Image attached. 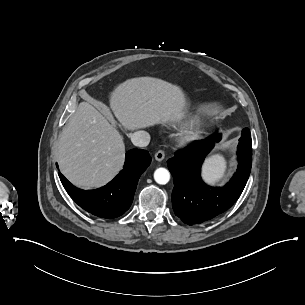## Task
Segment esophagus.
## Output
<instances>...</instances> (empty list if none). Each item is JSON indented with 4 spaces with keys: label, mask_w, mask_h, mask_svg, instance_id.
Listing matches in <instances>:
<instances>
[{
    "label": "esophagus",
    "mask_w": 305,
    "mask_h": 305,
    "mask_svg": "<svg viewBox=\"0 0 305 305\" xmlns=\"http://www.w3.org/2000/svg\"><path fill=\"white\" fill-rule=\"evenodd\" d=\"M164 157H165V154H164V151H162V150H159V151L156 152V154H155V159H156V161H158V162H161V161L164 159Z\"/></svg>",
    "instance_id": "1"
}]
</instances>
